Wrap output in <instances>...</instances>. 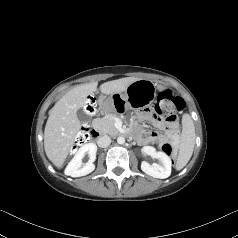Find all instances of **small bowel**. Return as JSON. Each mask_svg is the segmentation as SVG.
<instances>
[{
    "label": "small bowel",
    "instance_id": "c3829d8e",
    "mask_svg": "<svg viewBox=\"0 0 238 238\" xmlns=\"http://www.w3.org/2000/svg\"><path fill=\"white\" fill-rule=\"evenodd\" d=\"M139 118L141 120H150L152 125L159 129H166V133L164 135L157 134L153 131L143 129L140 132H137L134 129V132L138 135V140L141 143H157L159 146H162L165 142H170L173 145H177L179 143V132L176 124H166V120L162 117L158 111L152 110L149 113L141 112L139 114Z\"/></svg>",
    "mask_w": 238,
    "mask_h": 238
}]
</instances>
